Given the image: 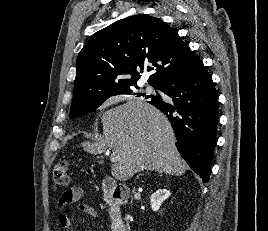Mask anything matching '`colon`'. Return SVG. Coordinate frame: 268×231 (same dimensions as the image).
<instances>
[{"label":"colon","instance_id":"colon-1","mask_svg":"<svg viewBox=\"0 0 268 231\" xmlns=\"http://www.w3.org/2000/svg\"><path fill=\"white\" fill-rule=\"evenodd\" d=\"M52 184L55 188H65L69 183V164L68 161L62 160L54 165L52 171Z\"/></svg>","mask_w":268,"mask_h":231}]
</instances>
